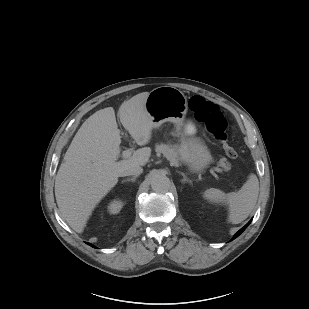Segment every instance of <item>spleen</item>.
<instances>
[{"label":"spleen","instance_id":"obj_1","mask_svg":"<svg viewBox=\"0 0 309 309\" xmlns=\"http://www.w3.org/2000/svg\"><path fill=\"white\" fill-rule=\"evenodd\" d=\"M259 194V182L256 175L251 174L238 192L225 194L215 188L207 189L203 197L210 202L227 203L229 206L228 221L238 224L244 221L253 211Z\"/></svg>","mask_w":309,"mask_h":309}]
</instances>
